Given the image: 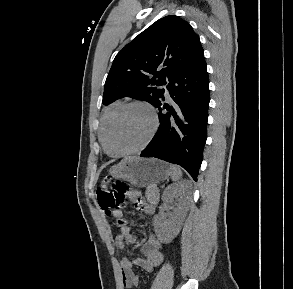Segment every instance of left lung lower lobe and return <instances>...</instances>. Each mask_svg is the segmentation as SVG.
<instances>
[{
	"instance_id": "0a47b994",
	"label": "left lung lower lobe",
	"mask_w": 293,
	"mask_h": 289,
	"mask_svg": "<svg viewBox=\"0 0 293 289\" xmlns=\"http://www.w3.org/2000/svg\"><path fill=\"white\" fill-rule=\"evenodd\" d=\"M171 105L162 96L154 106L159 109L160 126L141 157H156L182 166L196 181L207 139L209 79L200 52L192 63L167 85ZM167 113H162V109Z\"/></svg>"
}]
</instances>
